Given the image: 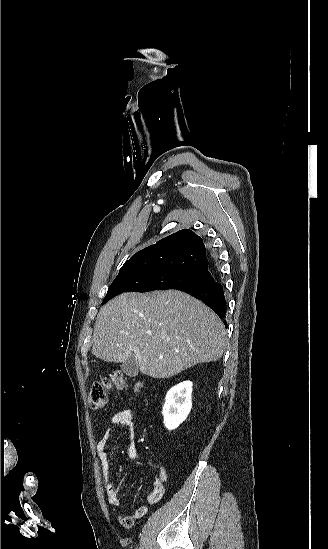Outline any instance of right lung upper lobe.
<instances>
[{"instance_id": "obj_1", "label": "right lung upper lobe", "mask_w": 328, "mask_h": 549, "mask_svg": "<svg viewBox=\"0 0 328 549\" xmlns=\"http://www.w3.org/2000/svg\"><path fill=\"white\" fill-rule=\"evenodd\" d=\"M212 262L201 237L188 229L158 241L124 263L120 271L136 268L176 269L194 273L210 281Z\"/></svg>"}]
</instances>
